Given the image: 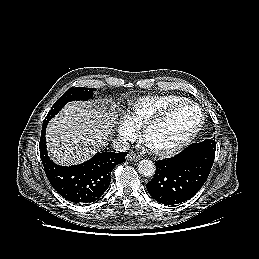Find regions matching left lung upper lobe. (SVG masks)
Here are the masks:
<instances>
[{
  "instance_id": "5c2ea615",
  "label": "left lung upper lobe",
  "mask_w": 259,
  "mask_h": 259,
  "mask_svg": "<svg viewBox=\"0 0 259 259\" xmlns=\"http://www.w3.org/2000/svg\"><path fill=\"white\" fill-rule=\"evenodd\" d=\"M215 139V138H214ZM214 139H205L203 142H200V145L208 146L211 148H216V143Z\"/></svg>"
}]
</instances>
